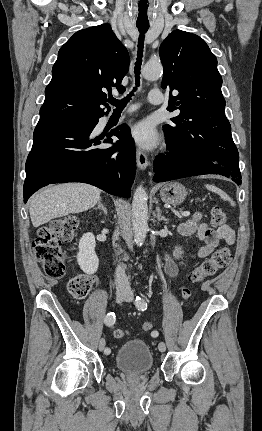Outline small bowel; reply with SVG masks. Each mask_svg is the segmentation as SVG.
<instances>
[{"label":"small bowel","mask_w":262,"mask_h":431,"mask_svg":"<svg viewBox=\"0 0 262 431\" xmlns=\"http://www.w3.org/2000/svg\"><path fill=\"white\" fill-rule=\"evenodd\" d=\"M201 219V214L197 213L193 219L183 222L179 226L182 235L186 237L196 236L197 239L204 243L198 251L200 257L211 254L217 247L219 240H224L227 244L234 243V232L230 227L222 226L211 228L208 223L201 222ZM179 253L180 247L177 246L174 251V256H177ZM165 270L170 277H175L177 275L178 268L173 256H168L166 258Z\"/></svg>","instance_id":"small-bowel-1"}]
</instances>
